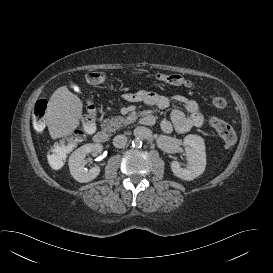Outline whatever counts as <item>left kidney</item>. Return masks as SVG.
I'll return each mask as SVG.
<instances>
[{
    "mask_svg": "<svg viewBox=\"0 0 273 273\" xmlns=\"http://www.w3.org/2000/svg\"><path fill=\"white\" fill-rule=\"evenodd\" d=\"M183 145L188 159L187 167L182 168L177 161H172L170 167L176 177L190 181L201 175L205 170V143L202 137L190 134L184 138Z\"/></svg>",
    "mask_w": 273,
    "mask_h": 273,
    "instance_id": "5707ae66",
    "label": "left kidney"
}]
</instances>
